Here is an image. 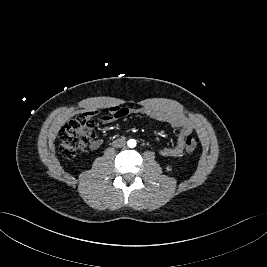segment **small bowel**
Wrapping results in <instances>:
<instances>
[{
	"label": "small bowel",
	"mask_w": 267,
	"mask_h": 267,
	"mask_svg": "<svg viewBox=\"0 0 267 267\" xmlns=\"http://www.w3.org/2000/svg\"><path fill=\"white\" fill-rule=\"evenodd\" d=\"M127 114H141L153 120L165 122L175 129L179 130V136L173 146L164 147L160 150V154L164 157L177 158L183 154L185 148V138L194 131L193 122L186 116L160 109L157 107H140V108H122L112 107L101 110H93L85 112L83 115L94 116L101 115L105 122H112L117 118L123 117ZM103 144L102 139H95L91 141L90 148L98 149Z\"/></svg>",
	"instance_id": "small-bowel-1"
}]
</instances>
